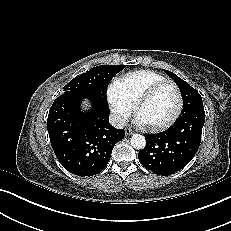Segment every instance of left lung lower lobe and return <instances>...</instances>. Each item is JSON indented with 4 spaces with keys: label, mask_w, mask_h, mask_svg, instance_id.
Instances as JSON below:
<instances>
[{
    "label": "left lung lower lobe",
    "mask_w": 231,
    "mask_h": 231,
    "mask_svg": "<svg viewBox=\"0 0 231 231\" xmlns=\"http://www.w3.org/2000/svg\"><path fill=\"white\" fill-rule=\"evenodd\" d=\"M204 121V109H196L182 117L180 130L173 135L165 131L145 134L146 146L138 153L140 163L163 176L183 169L199 148Z\"/></svg>",
    "instance_id": "left-lung-lower-lobe-1"
}]
</instances>
